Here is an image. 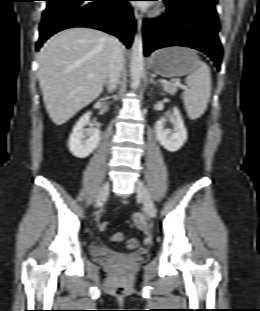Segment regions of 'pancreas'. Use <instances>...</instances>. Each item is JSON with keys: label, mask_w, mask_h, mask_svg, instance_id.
Wrapping results in <instances>:
<instances>
[{"label": "pancreas", "mask_w": 260, "mask_h": 311, "mask_svg": "<svg viewBox=\"0 0 260 311\" xmlns=\"http://www.w3.org/2000/svg\"><path fill=\"white\" fill-rule=\"evenodd\" d=\"M163 90L171 95L178 91V86L174 84H163Z\"/></svg>", "instance_id": "obj_1"}]
</instances>
